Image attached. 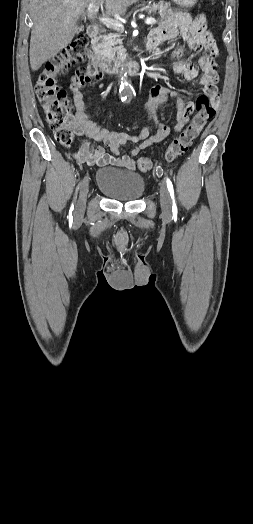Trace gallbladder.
<instances>
[{
	"mask_svg": "<svg viewBox=\"0 0 253 524\" xmlns=\"http://www.w3.org/2000/svg\"><path fill=\"white\" fill-rule=\"evenodd\" d=\"M83 29H84V26H82V25L78 27V31H82Z\"/></svg>",
	"mask_w": 253,
	"mask_h": 524,
	"instance_id": "obj_1",
	"label": "gallbladder"
}]
</instances>
